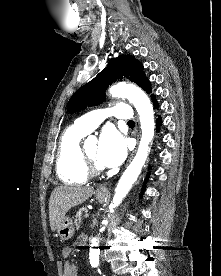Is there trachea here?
<instances>
[{"mask_svg": "<svg viewBox=\"0 0 221 276\" xmlns=\"http://www.w3.org/2000/svg\"><path fill=\"white\" fill-rule=\"evenodd\" d=\"M128 124L134 125V121H128Z\"/></svg>", "mask_w": 221, "mask_h": 276, "instance_id": "1", "label": "trachea"}]
</instances>
